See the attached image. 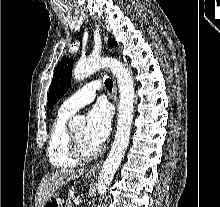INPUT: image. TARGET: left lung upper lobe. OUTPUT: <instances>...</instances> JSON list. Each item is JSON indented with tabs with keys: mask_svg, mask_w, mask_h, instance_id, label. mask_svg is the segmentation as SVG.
I'll return each mask as SVG.
<instances>
[{
	"mask_svg": "<svg viewBox=\"0 0 220 207\" xmlns=\"http://www.w3.org/2000/svg\"><path fill=\"white\" fill-rule=\"evenodd\" d=\"M110 48L117 45L114 39L110 38L108 41ZM73 60L71 58H65L56 67L53 75V79L49 88L48 94V109L64 95L68 90L71 76H72Z\"/></svg>",
	"mask_w": 220,
	"mask_h": 207,
	"instance_id": "5c2ea615",
	"label": "left lung upper lobe"
}]
</instances>
